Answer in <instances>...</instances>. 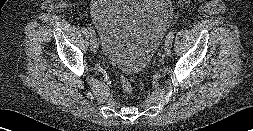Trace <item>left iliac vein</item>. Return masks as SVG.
<instances>
[{
	"label": "left iliac vein",
	"mask_w": 253,
	"mask_h": 131,
	"mask_svg": "<svg viewBox=\"0 0 253 131\" xmlns=\"http://www.w3.org/2000/svg\"><path fill=\"white\" fill-rule=\"evenodd\" d=\"M171 51H172V42L171 41L165 42L164 54L166 56H169L171 54Z\"/></svg>",
	"instance_id": "obj_1"
}]
</instances>
